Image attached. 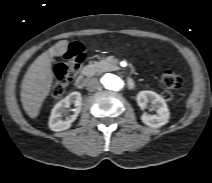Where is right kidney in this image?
I'll use <instances>...</instances> for the list:
<instances>
[{"instance_id": "right-kidney-1", "label": "right kidney", "mask_w": 212, "mask_h": 183, "mask_svg": "<svg viewBox=\"0 0 212 183\" xmlns=\"http://www.w3.org/2000/svg\"><path fill=\"white\" fill-rule=\"evenodd\" d=\"M74 105V114L70 117H66L64 120L63 116L67 114L70 105ZM82 96L80 92H72L64 99L60 100L52 109L51 116L49 118V128L52 131H63L71 127L72 123L81 111Z\"/></svg>"}]
</instances>
